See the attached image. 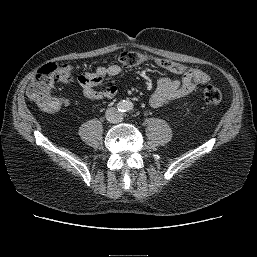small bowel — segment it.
Returning a JSON list of instances; mask_svg holds the SVG:
<instances>
[{
    "label": "small bowel",
    "mask_w": 257,
    "mask_h": 257,
    "mask_svg": "<svg viewBox=\"0 0 257 257\" xmlns=\"http://www.w3.org/2000/svg\"><path fill=\"white\" fill-rule=\"evenodd\" d=\"M119 65L113 64L108 67L99 66L93 72H86L79 77L85 96L92 100L113 99L117 94L114 86L103 90L97 88L102 84L105 75L116 76L120 73ZM200 82L191 75L184 74L180 79L163 77L159 79L156 89L149 98V104L153 108H159L174 100L182 98L194 92Z\"/></svg>",
    "instance_id": "1"
}]
</instances>
